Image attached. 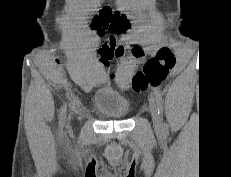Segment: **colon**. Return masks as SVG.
I'll use <instances>...</instances> for the list:
<instances>
[{"label":"colon","mask_w":231,"mask_h":177,"mask_svg":"<svg viewBox=\"0 0 231 177\" xmlns=\"http://www.w3.org/2000/svg\"><path fill=\"white\" fill-rule=\"evenodd\" d=\"M92 27L98 34L103 35L106 32L111 33L110 40L100 49L99 55L101 61L107 63L114 56L123 54L124 49L116 47L114 35L123 33L128 29L129 22L124 14L120 11H112L108 7L100 10L99 14L94 17ZM134 54L138 57L143 56L141 49H135ZM175 65V57L167 47L160 48L156 55L149 58L141 71L137 72L132 79V88L134 91L145 90L148 86L157 87L166 78L170 69Z\"/></svg>","instance_id":"colon-1"}]
</instances>
